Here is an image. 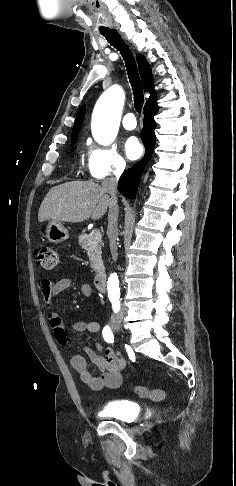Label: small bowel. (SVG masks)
Here are the masks:
<instances>
[{
	"mask_svg": "<svg viewBox=\"0 0 236 486\" xmlns=\"http://www.w3.org/2000/svg\"><path fill=\"white\" fill-rule=\"evenodd\" d=\"M71 286L72 280L69 278H63L56 282H52L46 278L42 279L40 287L45 309L51 310L53 308L54 297L69 289ZM80 290L85 296L92 294V288L86 283L80 285ZM48 319L59 343L65 344L67 337L62 318L55 312H49ZM72 328L75 332L96 333L100 330V323L97 321L86 322L78 320L73 323ZM84 352L90 361L101 371L99 375L94 374L83 355H73L70 360L71 366L80 375L85 385L94 391H100L104 388L114 389L121 385L123 379L122 372L126 367V361L119 353L110 348L103 349L100 344H96L95 349L86 347Z\"/></svg>",
	"mask_w": 236,
	"mask_h": 486,
	"instance_id": "c3829d8e",
	"label": "small bowel"
}]
</instances>
